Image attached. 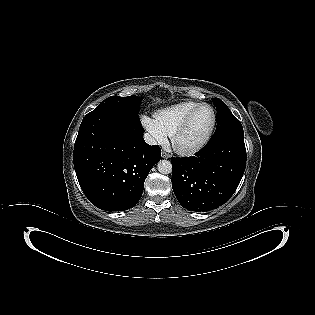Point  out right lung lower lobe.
Segmentation results:
<instances>
[{"instance_id": "98d812e1", "label": "right lung lower lobe", "mask_w": 315, "mask_h": 315, "mask_svg": "<svg viewBox=\"0 0 315 315\" xmlns=\"http://www.w3.org/2000/svg\"><path fill=\"white\" fill-rule=\"evenodd\" d=\"M139 117L111 109L93 110L82 120L74 145V168L86 197L97 208L124 211L143 193L144 181L160 160L148 145Z\"/></svg>"}]
</instances>
